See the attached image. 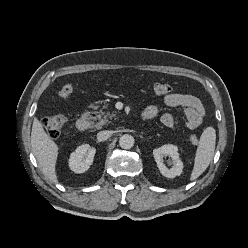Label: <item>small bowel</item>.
I'll list each match as a JSON object with an SVG mask.
<instances>
[{"label":"small bowel","mask_w":248,"mask_h":248,"mask_svg":"<svg viewBox=\"0 0 248 248\" xmlns=\"http://www.w3.org/2000/svg\"><path fill=\"white\" fill-rule=\"evenodd\" d=\"M165 105L169 107L183 108L186 118V125L190 129L199 127L205 116V108L199 98L190 94L171 93L164 97ZM145 119H153L159 115V109L148 106L142 113ZM162 124L166 127H173L175 124L174 116L171 113H163L160 116Z\"/></svg>","instance_id":"obj_1"}]
</instances>
